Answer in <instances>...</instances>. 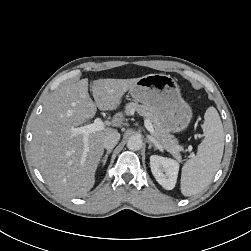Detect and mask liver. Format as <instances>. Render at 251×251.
I'll return each instance as SVG.
<instances>
[{"label":"liver","instance_id":"1","mask_svg":"<svg viewBox=\"0 0 251 251\" xmlns=\"http://www.w3.org/2000/svg\"><path fill=\"white\" fill-rule=\"evenodd\" d=\"M139 78L98 79L88 93V79L60 87L45 103L33 127L31 151L34 162L46 183L56 192L77 197L85 195L95 183V172L104 152L103 140L116 132L104 127L89 134L87 146L77 128L101 111L118 108L123 95ZM122 114H116L107 125L121 126Z\"/></svg>","mask_w":251,"mask_h":251}]
</instances>
